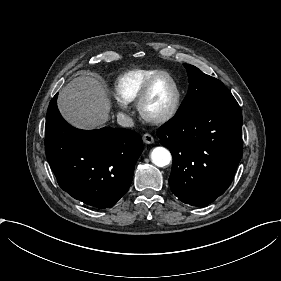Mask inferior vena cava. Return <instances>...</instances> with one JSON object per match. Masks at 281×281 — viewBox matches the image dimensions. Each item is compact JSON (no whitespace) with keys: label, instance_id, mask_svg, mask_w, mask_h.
I'll return each mask as SVG.
<instances>
[{"label":"inferior vena cava","instance_id":"1","mask_svg":"<svg viewBox=\"0 0 281 281\" xmlns=\"http://www.w3.org/2000/svg\"><path fill=\"white\" fill-rule=\"evenodd\" d=\"M117 123L123 127H133L134 122L133 119L124 113L117 114Z\"/></svg>","mask_w":281,"mask_h":281}]
</instances>
